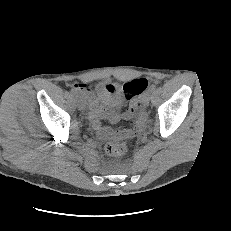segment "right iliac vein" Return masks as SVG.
I'll use <instances>...</instances> for the list:
<instances>
[{
  "label": "right iliac vein",
  "mask_w": 231,
  "mask_h": 231,
  "mask_svg": "<svg viewBox=\"0 0 231 231\" xmlns=\"http://www.w3.org/2000/svg\"><path fill=\"white\" fill-rule=\"evenodd\" d=\"M75 98H76V102H77L78 108L80 110H83L85 108V100H84L83 96L81 94L77 93L75 95Z\"/></svg>",
  "instance_id": "63e3f726"
}]
</instances>
